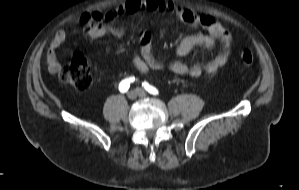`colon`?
I'll return each instance as SVG.
<instances>
[{
    "label": "colon",
    "mask_w": 299,
    "mask_h": 190,
    "mask_svg": "<svg viewBox=\"0 0 299 190\" xmlns=\"http://www.w3.org/2000/svg\"><path fill=\"white\" fill-rule=\"evenodd\" d=\"M241 63L249 67L253 64V52L244 48L239 53ZM60 80L68 85L73 86L78 91H86L92 84L89 62L80 52L74 54L71 61L66 64L60 71Z\"/></svg>",
    "instance_id": "5ec220e1"
}]
</instances>
